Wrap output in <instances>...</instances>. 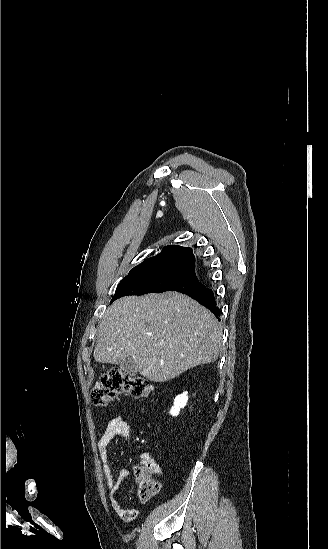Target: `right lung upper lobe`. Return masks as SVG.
Instances as JSON below:
<instances>
[{
	"instance_id": "right-lung-upper-lobe-1",
	"label": "right lung upper lobe",
	"mask_w": 328,
	"mask_h": 549,
	"mask_svg": "<svg viewBox=\"0 0 328 549\" xmlns=\"http://www.w3.org/2000/svg\"><path fill=\"white\" fill-rule=\"evenodd\" d=\"M132 270H168L195 275V256L189 247L168 245L161 253L146 259Z\"/></svg>"
}]
</instances>
